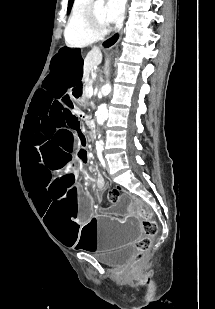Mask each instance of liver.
<instances>
[{
    "label": "liver",
    "mask_w": 215,
    "mask_h": 309,
    "mask_svg": "<svg viewBox=\"0 0 215 309\" xmlns=\"http://www.w3.org/2000/svg\"><path fill=\"white\" fill-rule=\"evenodd\" d=\"M102 60V52L99 46H92V50H89L84 58V74L83 78L89 76L90 70H93V66L100 64Z\"/></svg>",
    "instance_id": "1"
}]
</instances>
